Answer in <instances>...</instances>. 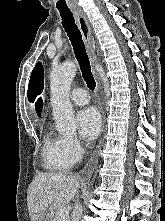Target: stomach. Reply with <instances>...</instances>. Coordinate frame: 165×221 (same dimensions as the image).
Segmentation results:
<instances>
[{"label":"stomach","instance_id":"obj_1","mask_svg":"<svg viewBox=\"0 0 165 221\" xmlns=\"http://www.w3.org/2000/svg\"><path fill=\"white\" fill-rule=\"evenodd\" d=\"M52 210L51 209H47L44 214L39 218L38 221H51L52 220Z\"/></svg>","mask_w":165,"mask_h":221}]
</instances>
